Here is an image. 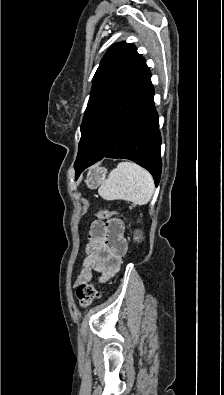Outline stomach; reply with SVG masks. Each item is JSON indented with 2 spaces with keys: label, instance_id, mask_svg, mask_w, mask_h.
Instances as JSON below:
<instances>
[{
  "label": "stomach",
  "instance_id": "0dacf381",
  "mask_svg": "<svg viewBox=\"0 0 224 395\" xmlns=\"http://www.w3.org/2000/svg\"><path fill=\"white\" fill-rule=\"evenodd\" d=\"M106 172L107 170L103 167L95 166L91 168L85 180L88 188H97L105 180Z\"/></svg>",
  "mask_w": 224,
  "mask_h": 395
}]
</instances>
